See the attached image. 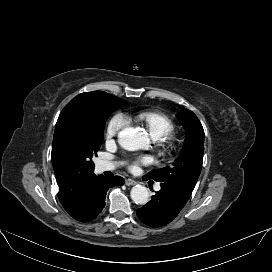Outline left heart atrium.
<instances>
[{
	"instance_id": "obj_1",
	"label": "left heart atrium",
	"mask_w": 272,
	"mask_h": 272,
	"mask_svg": "<svg viewBox=\"0 0 272 272\" xmlns=\"http://www.w3.org/2000/svg\"><path fill=\"white\" fill-rule=\"evenodd\" d=\"M151 162H152V158L149 156L139 157L131 163V169L137 170L141 165H148Z\"/></svg>"
}]
</instances>
